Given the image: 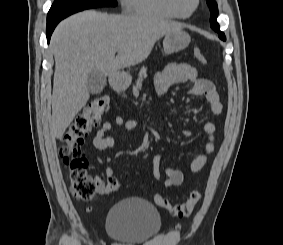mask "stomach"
<instances>
[{
    "mask_svg": "<svg viewBox=\"0 0 283 245\" xmlns=\"http://www.w3.org/2000/svg\"><path fill=\"white\" fill-rule=\"evenodd\" d=\"M190 43V36L185 31L179 30L165 35L163 40V48L165 54H172L174 52L185 49ZM131 82V78L126 76L118 82L119 86H127Z\"/></svg>",
    "mask_w": 283,
    "mask_h": 245,
    "instance_id": "0dacf381",
    "label": "stomach"
}]
</instances>
